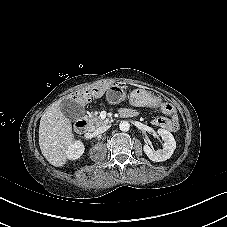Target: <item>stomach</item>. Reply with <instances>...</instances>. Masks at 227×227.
I'll return each instance as SVG.
<instances>
[{
  "mask_svg": "<svg viewBox=\"0 0 227 227\" xmlns=\"http://www.w3.org/2000/svg\"><path fill=\"white\" fill-rule=\"evenodd\" d=\"M108 96L112 103L117 104L124 101L127 97L126 91L117 85H111L108 88ZM129 97V102L137 107H157L160 104L158 98L153 96L150 92L143 89L133 90Z\"/></svg>",
  "mask_w": 227,
  "mask_h": 227,
  "instance_id": "0dacf381",
  "label": "stomach"
}]
</instances>
